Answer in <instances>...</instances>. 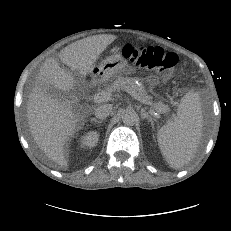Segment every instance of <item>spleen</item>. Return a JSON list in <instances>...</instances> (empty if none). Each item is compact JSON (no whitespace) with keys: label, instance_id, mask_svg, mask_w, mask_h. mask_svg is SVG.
Instances as JSON below:
<instances>
[{"label":"spleen","instance_id":"3e777b00","mask_svg":"<svg viewBox=\"0 0 231 231\" xmlns=\"http://www.w3.org/2000/svg\"><path fill=\"white\" fill-rule=\"evenodd\" d=\"M203 117L197 93H186L178 106L177 116L157 133L161 153L170 167L179 169L188 164L199 147Z\"/></svg>","mask_w":231,"mask_h":231}]
</instances>
